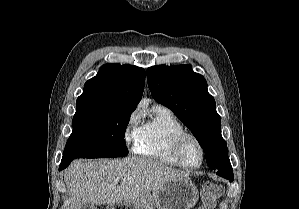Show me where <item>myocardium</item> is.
I'll list each match as a JSON object with an SVG mask.
<instances>
[{"instance_id":"obj_1","label":"myocardium","mask_w":299,"mask_h":209,"mask_svg":"<svg viewBox=\"0 0 299 209\" xmlns=\"http://www.w3.org/2000/svg\"><path fill=\"white\" fill-rule=\"evenodd\" d=\"M187 140H193L200 148L201 161L196 166H190V165L186 164L183 160V149H184V145ZM172 154H173V157L179 167L186 169V170H195V169H199L204 164L206 151H205V147H204L203 143L200 141V139L197 136H195L194 134L185 132L175 138L173 145H172Z\"/></svg>"}]
</instances>
